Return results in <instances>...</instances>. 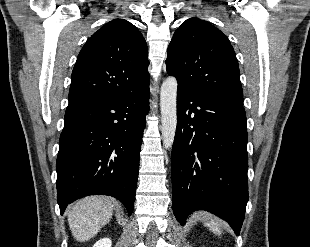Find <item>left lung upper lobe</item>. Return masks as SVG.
Returning <instances> with one entry per match:
<instances>
[{
    "instance_id": "left-lung-upper-lobe-1",
    "label": "left lung upper lobe",
    "mask_w": 310,
    "mask_h": 247,
    "mask_svg": "<svg viewBox=\"0 0 310 247\" xmlns=\"http://www.w3.org/2000/svg\"><path fill=\"white\" fill-rule=\"evenodd\" d=\"M166 69L178 87L243 105L236 55L228 38L199 18L186 20L168 46Z\"/></svg>"
}]
</instances>
